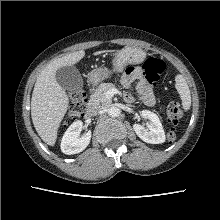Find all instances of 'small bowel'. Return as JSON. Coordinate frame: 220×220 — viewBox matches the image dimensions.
<instances>
[{
  "label": "small bowel",
  "mask_w": 220,
  "mask_h": 220,
  "mask_svg": "<svg viewBox=\"0 0 220 220\" xmlns=\"http://www.w3.org/2000/svg\"><path fill=\"white\" fill-rule=\"evenodd\" d=\"M134 81H137L136 90L138 97L147 105H153V91L148 81L143 77L141 69L138 67H128L121 77V83L125 87H130ZM124 97L127 101L134 99L131 93H126Z\"/></svg>",
  "instance_id": "obj_1"
}]
</instances>
